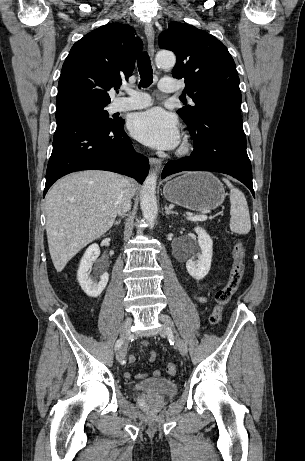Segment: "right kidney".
<instances>
[{
  "instance_id": "1",
  "label": "right kidney",
  "mask_w": 305,
  "mask_h": 461,
  "mask_svg": "<svg viewBox=\"0 0 305 461\" xmlns=\"http://www.w3.org/2000/svg\"><path fill=\"white\" fill-rule=\"evenodd\" d=\"M99 255L100 248L98 244L90 245L80 261L77 272V280L82 290L86 293L87 296L92 298H96L102 293L109 279V274L106 271L100 272L99 280L97 277L93 278L88 274V271L92 269V265Z\"/></svg>"
}]
</instances>
